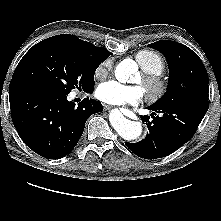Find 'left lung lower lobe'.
Wrapping results in <instances>:
<instances>
[{"label": "left lung lower lobe", "mask_w": 221, "mask_h": 221, "mask_svg": "<svg viewBox=\"0 0 221 221\" xmlns=\"http://www.w3.org/2000/svg\"><path fill=\"white\" fill-rule=\"evenodd\" d=\"M209 103L183 104L170 106H149L154 111L149 116H140L146 122L149 133L138 143H127L126 146L137 156L145 159H156L170 155L181 145L189 141L207 112ZM161 116H154L156 113Z\"/></svg>", "instance_id": "1"}]
</instances>
